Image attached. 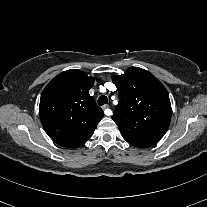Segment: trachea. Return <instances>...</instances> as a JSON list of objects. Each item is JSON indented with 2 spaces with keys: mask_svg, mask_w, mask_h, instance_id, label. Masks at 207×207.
<instances>
[{
  "mask_svg": "<svg viewBox=\"0 0 207 207\" xmlns=\"http://www.w3.org/2000/svg\"><path fill=\"white\" fill-rule=\"evenodd\" d=\"M107 103H108V98L106 96L102 95L98 98V105L99 106H102V105L107 104Z\"/></svg>",
  "mask_w": 207,
  "mask_h": 207,
  "instance_id": "obj_1",
  "label": "trachea"
}]
</instances>
